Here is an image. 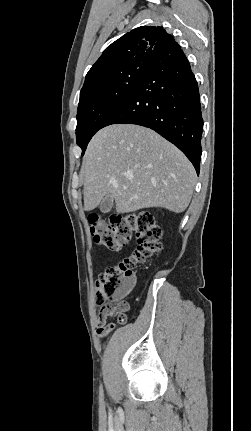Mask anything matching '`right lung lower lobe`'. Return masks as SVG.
<instances>
[{"mask_svg":"<svg viewBox=\"0 0 251 431\" xmlns=\"http://www.w3.org/2000/svg\"><path fill=\"white\" fill-rule=\"evenodd\" d=\"M151 128L177 146L200 170L203 119L198 83L180 49L154 54L135 90L103 124Z\"/></svg>","mask_w":251,"mask_h":431,"instance_id":"right-lung-lower-lobe-1","label":"right lung lower lobe"}]
</instances>
